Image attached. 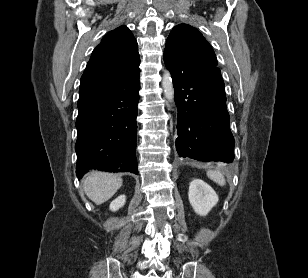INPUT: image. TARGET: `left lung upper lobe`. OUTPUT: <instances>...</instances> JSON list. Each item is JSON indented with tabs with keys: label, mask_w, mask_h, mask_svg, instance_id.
I'll return each mask as SVG.
<instances>
[{
	"label": "left lung upper lobe",
	"mask_w": 308,
	"mask_h": 278,
	"mask_svg": "<svg viewBox=\"0 0 308 278\" xmlns=\"http://www.w3.org/2000/svg\"><path fill=\"white\" fill-rule=\"evenodd\" d=\"M164 62L171 73L188 76L217 68L216 55L202 34L187 24L175 26L166 41Z\"/></svg>",
	"instance_id": "1"
}]
</instances>
